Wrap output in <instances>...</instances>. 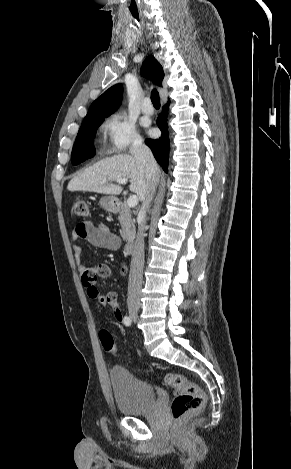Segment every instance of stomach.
Listing matches in <instances>:
<instances>
[{
    "label": "stomach",
    "mask_w": 291,
    "mask_h": 469,
    "mask_svg": "<svg viewBox=\"0 0 291 469\" xmlns=\"http://www.w3.org/2000/svg\"><path fill=\"white\" fill-rule=\"evenodd\" d=\"M118 203V199L114 196H105L100 199V206L108 211V212H114L116 210Z\"/></svg>",
    "instance_id": "obj_1"
}]
</instances>
